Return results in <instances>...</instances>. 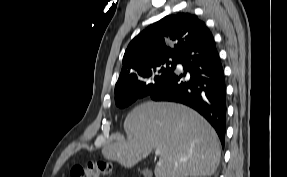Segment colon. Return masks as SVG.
<instances>
[{"instance_id": "obj_1", "label": "colon", "mask_w": 287, "mask_h": 177, "mask_svg": "<svg viewBox=\"0 0 287 177\" xmlns=\"http://www.w3.org/2000/svg\"><path fill=\"white\" fill-rule=\"evenodd\" d=\"M113 167L104 161L91 162L86 167L73 168L71 177H104L112 173Z\"/></svg>"}]
</instances>
